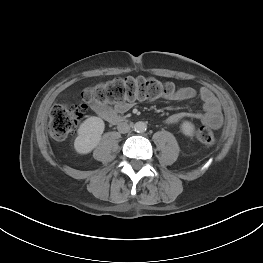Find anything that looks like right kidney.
<instances>
[{
	"mask_svg": "<svg viewBox=\"0 0 263 263\" xmlns=\"http://www.w3.org/2000/svg\"><path fill=\"white\" fill-rule=\"evenodd\" d=\"M104 121L99 117H89L78 129V136L74 141L75 150L80 154L90 153L100 142L104 131Z\"/></svg>",
	"mask_w": 263,
	"mask_h": 263,
	"instance_id": "obj_1",
	"label": "right kidney"
}]
</instances>
